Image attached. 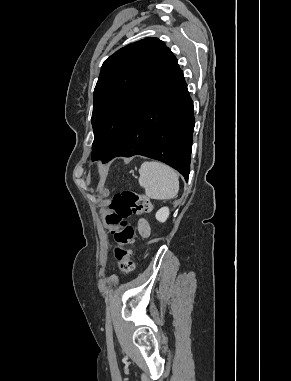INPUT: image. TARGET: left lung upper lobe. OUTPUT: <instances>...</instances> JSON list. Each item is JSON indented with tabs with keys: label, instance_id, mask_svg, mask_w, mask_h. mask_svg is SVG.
Here are the masks:
<instances>
[{
	"label": "left lung upper lobe",
	"instance_id": "obj_1",
	"mask_svg": "<svg viewBox=\"0 0 291 381\" xmlns=\"http://www.w3.org/2000/svg\"><path fill=\"white\" fill-rule=\"evenodd\" d=\"M179 71L176 57L158 38L131 43L103 63L91 118L93 160L107 157L149 100ZM113 125L108 136L106 131Z\"/></svg>",
	"mask_w": 291,
	"mask_h": 381
}]
</instances>
